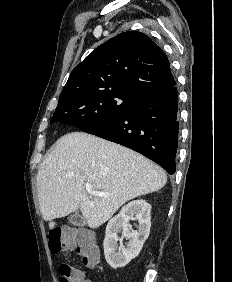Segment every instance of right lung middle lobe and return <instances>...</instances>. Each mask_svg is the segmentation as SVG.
Here are the masks:
<instances>
[{
    "label": "right lung middle lobe",
    "instance_id": "dd1d6c3e",
    "mask_svg": "<svg viewBox=\"0 0 232 282\" xmlns=\"http://www.w3.org/2000/svg\"><path fill=\"white\" fill-rule=\"evenodd\" d=\"M142 96L129 90H106L59 101L51 123L62 122L82 129L101 124L134 109Z\"/></svg>",
    "mask_w": 232,
    "mask_h": 282
}]
</instances>
